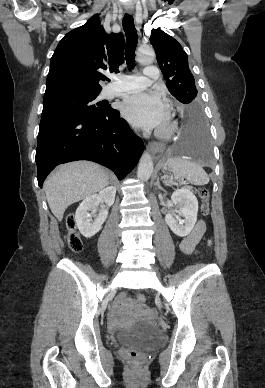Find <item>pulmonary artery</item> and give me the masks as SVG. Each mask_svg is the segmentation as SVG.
I'll list each match as a JSON object with an SVG mask.
<instances>
[{
	"label": "pulmonary artery",
	"instance_id": "obj_1",
	"mask_svg": "<svg viewBox=\"0 0 265 388\" xmlns=\"http://www.w3.org/2000/svg\"><path fill=\"white\" fill-rule=\"evenodd\" d=\"M145 75H115V82L110 90L111 96L120 94L117 90H128L129 94H142L144 86H149L150 82H159L161 77L155 64H146Z\"/></svg>",
	"mask_w": 265,
	"mask_h": 388
}]
</instances>
